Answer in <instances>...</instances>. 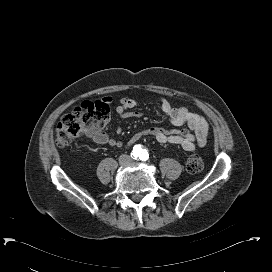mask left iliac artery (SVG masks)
I'll list each match as a JSON object with an SVG mask.
<instances>
[{"label": "left iliac artery", "mask_w": 272, "mask_h": 272, "mask_svg": "<svg viewBox=\"0 0 272 272\" xmlns=\"http://www.w3.org/2000/svg\"><path fill=\"white\" fill-rule=\"evenodd\" d=\"M148 158H149L148 152H147V151H143V152H142V155H141V157H140V159H141L142 161H146V160H148Z\"/></svg>", "instance_id": "left-iliac-artery-1"}]
</instances>
